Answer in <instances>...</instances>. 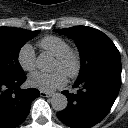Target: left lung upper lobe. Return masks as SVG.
Listing matches in <instances>:
<instances>
[{
    "label": "left lung upper lobe",
    "instance_id": "1",
    "mask_svg": "<svg viewBox=\"0 0 128 128\" xmlns=\"http://www.w3.org/2000/svg\"><path fill=\"white\" fill-rule=\"evenodd\" d=\"M55 31L75 40L81 57L78 79H82L101 66L121 67L118 49L103 32L87 26H75Z\"/></svg>",
    "mask_w": 128,
    "mask_h": 128
}]
</instances>
